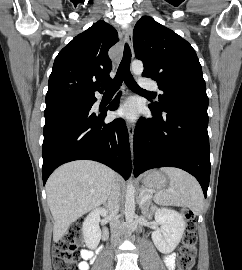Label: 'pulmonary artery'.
<instances>
[{
	"instance_id": "pulmonary-artery-1",
	"label": "pulmonary artery",
	"mask_w": 242,
	"mask_h": 270,
	"mask_svg": "<svg viewBox=\"0 0 242 270\" xmlns=\"http://www.w3.org/2000/svg\"><path fill=\"white\" fill-rule=\"evenodd\" d=\"M140 87L143 88V89H146V90H152V91L160 92L157 89V86L155 85V83H153L152 81H149V80L141 79Z\"/></svg>"
}]
</instances>
